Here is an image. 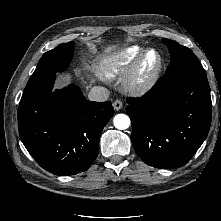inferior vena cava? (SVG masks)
Returning <instances> with one entry per match:
<instances>
[{
    "mask_svg": "<svg viewBox=\"0 0 221 221\" xmlns=\"http://www.w3.org/2000/svg\"><path fill=\"white\" fill-rule=\"evenodd\" d=\"M109 97V90L102 86H94L88 93V98L91 101L103 102L107 101Z\"/></svg>",
    "mask_w": 221,
    "mask_h": 221,
    "instance_id": "inferior-vena-cava-1",
    "label": "inferior vena cava"
}]
</instances>
